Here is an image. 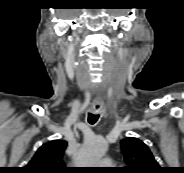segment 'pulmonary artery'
<instances>
[{"mask_svg":"<svg viewBox=\"0 0 184 173\" xmlns=\"http://www.w3.org/2000/svg\"><path fill=\"white\" fill-rule=\"evenodd\" d=\"M99 164H100L101 166L108 167V166H111V165L113 164V162H112V160L109 159V158H104V159H102V160L99 162Z\"/></svg>","mask_w":184,"mask_h":173,"instance_id":"1","label":"pulmonary artery"}]
</instances>
